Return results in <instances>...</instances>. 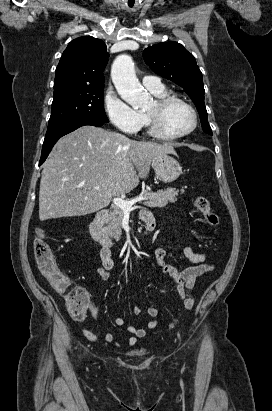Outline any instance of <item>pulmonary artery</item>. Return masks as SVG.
Returning <instances> with one entry per match:
<instances>
[{
	"label": "pulmonary artery",
	"instance_id": "e3ab8cb5",
	"mask_svg": "<svg viewBox=\"0 0 272 411\" xmlns=\"http://www.w3.org/2000/svg\"><path fill=\"white\" fill-rule=\"evenodd\" d=\"M143 85L149 90H161L164 88L160 79L156 76H145L142 79Z\"/></svg>",
	"mask_w": 272,
	"mask_h": 411
}]
</instances>
